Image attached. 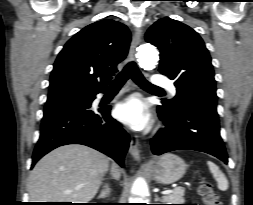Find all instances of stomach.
<instances>
[{
    "label": "stomach",
    "mask_w": 253,
    "mask_h": 205,
    "mask_svg": "<svg viewBox=\"0 0 253 205\" xmlns=\"http://www.w3.org/2000/svg\"><path fill=\"white\" fill-rule=\"evenodd\" d=\"M154 179L162 184H171L183 177L185 162L178 156L168 153L161 156L150 166Z\"/></svg>",
    "instance_id": "1"
}]
</instances>
